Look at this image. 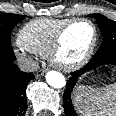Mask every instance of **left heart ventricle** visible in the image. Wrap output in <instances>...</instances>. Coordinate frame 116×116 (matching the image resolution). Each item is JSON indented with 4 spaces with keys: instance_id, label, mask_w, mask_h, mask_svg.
<instances>
[{
    "instance_id": "b2bd125f",
    "label": "left heart ventricle",
    "mask_w": 116,
    "mask_h": 116,
    "mask_svg": "<svg viewBox=\"0 0 116 116\" xmlns=\"http://www.w3.org/2000/svg\"><path fill=\"white\" fill-rule=\"evenodd\" d=\"M92 36L93 31L89 24L73 25L63 38L60 60L68 64L79 60L88 49Z\"/></svg>"
}]
</instances>
